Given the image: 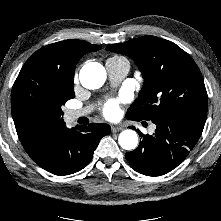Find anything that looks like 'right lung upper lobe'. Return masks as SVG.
Returning <instances> with one entry per match:
<instances>
[{
    "label": "right lung upper lobe",
    "mask_w": 221,
    "mask_h": 221,
    "mask_svg": "<svg viewBox=\"0 0 221 221\" xmlns=\"http://www.w3.org/2000/svg\"><path fill=\"white\" fill-rule=\"evenodd\" d=\"M100 49L99 45L86 41L76 39L64 40L42 47L27 60L24 66L39 64L74 73L75 65L83 55ZM15 127L19 138L34 129L20 125H15Z\"/></svg>",
    "instance_id": "cb5924a9"
}]
</instances>
